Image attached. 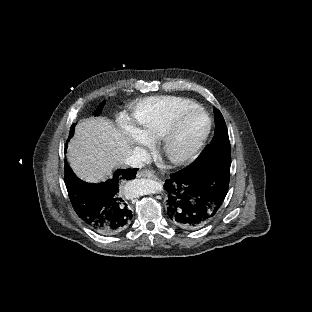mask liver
Here are the masks:
<instances>
[{"label":"liver","mask_w":312,"mask_h":312,"mask_svg":"<svg viewBox=\"0 0 312 312\" xmlns=\"http://www.w3.org/2000/svg\"><path fill=\"white\" fill-rule=\"evenodd\" d=\"M133 141L114 123L105 118H88L75 127L67 160L78 178L99 183L112 178L113 171L132 154Z\"/></svg>","instance_id":"liver-1"}]
</instances>
